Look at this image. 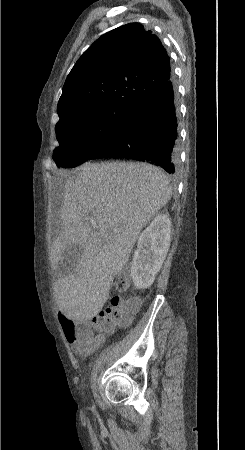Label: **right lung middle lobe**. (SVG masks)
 Listing matches in <instances>:
<instances>
[{
  "instance_id": "right-lung-middle-lobe-1",
  "label": "right lung middle lobe",
  "mask_w": 245,
  "mask_h": 450,
  "mask_svg": "<svg viewBox=\"0 0 245 450\" xmlns=\"http://www.w3.org/2000/svg\"><path fill=\"white\" fill-rule=\"evenodd\" d=\"M134 108L103 104L59 116L55 126L59 148L53 159L60 168H74L120 138Z\"/></svg>"
}]
</instances>
